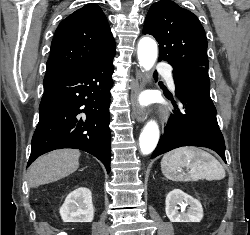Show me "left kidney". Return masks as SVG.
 <instances>
[{"instance_id":"1","label":"left kidney","mask_w":250,"mask_h":235,"mask_svg":"<svg viewBox=\"0 0 250 235\" xmlns=\"http://www.w3.org/2000/svg\"><path fill=\"white\" fill-rule=\"evenodd\" d=\"M165 212L171 222H200L203 218L201 203L180 189L168 193L165 201ZM177 205H180V209ZM189 205L186 211V206Z\"/></svg>"}]
</instances>
